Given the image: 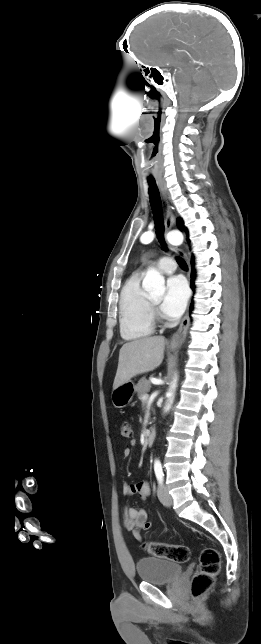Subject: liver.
I'll list each match as a JSON object with an SVG mask.
<instances>
[{
    "instance_id": "obj_1",
    "label": "liver",
    "mask_w": 261,
    "mask_h": 644,
    "mask_svg": "<svg viewBox=\"0 0 261 644\" xmlns=\"http://www.w3.org/2000/svg\"><path fill=\"white\" fill-rule=\"evenodd\" d=\"M165 338L145 337L125 343L119 351V362L113 390L131 378L153 371L164 358Z\"/></svg>"
}]
</instances>
